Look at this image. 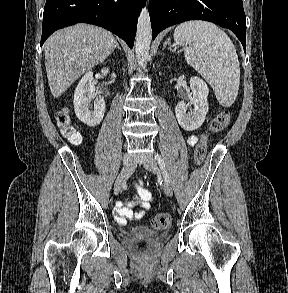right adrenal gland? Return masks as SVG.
Wrapping results in <instances>:
<instances>
[{"label":"right adrenal gland","mask_w":288,"mask_h":293,"mask_svg":"<svg viewBox=\"0 0 288 293\" xmlns=\"http://www.w3.org/2000/svg\"><path fill=\"white\" fill-rule=\"evenodd\" d=\"M115 48H117L118 50H121V48H120V46H119V44L117 42L115 43ZM115 48H114V50H115Z\"/></svg>","instance_id":"obj_1"}]
</instances>
